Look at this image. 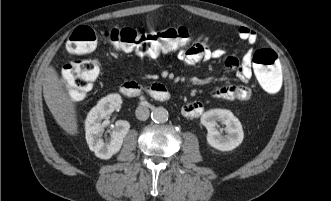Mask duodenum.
I'll return each instance as SVG.
<instances>
[{
  "label": "duodenum",
  "instance_id": "obj_1",
  "mask_svg": "<svg viewBox=\"0 0 331 201\" xmlns=\"http://www.w3.org/2000/svg\"><path fill=\"white\" fill-rule=\"evenodd\" d=\"M119 92L126 97H137L146 92L151 98L159 102L168 101L170 98L169 92L161 83H152L144 87L139 82H125L120 86Z\"/></svg>",
  "mask_w": 331,
  "mask_h": 201
}]
</instances>
